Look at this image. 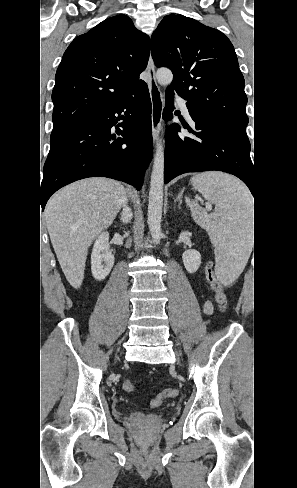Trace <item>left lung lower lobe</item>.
<instances>
[{
  "label": "left lung lower lobe",
  "mask_w": 297,
  "mask_h": 488,
  "mask_svg": "<svg viewBox=\"0 0 297 488\" xmlns=\"http://www.w3.org/2000/svg\"><path fill=\"white\" fill-rule=\"evenodd\" d=\"M166 108L163 118L173 117V94L166 90ZM192 119L193 131L198 139L183 136L180 127L173 124L166 128L164 183L187 172L218 170L240 178L254 192V167L250 158V143L247 135L218 125ZM186 128V126H184Z\"/></svg>",
  "instance_id": "1"
}]
</instances>
